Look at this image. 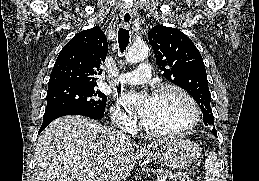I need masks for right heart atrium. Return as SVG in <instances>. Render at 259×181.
<instances>
[{
    "mask_svg": "<svg viewBox=\"0 0 259 181\" xmlns=\"http://www.w3.org/2000/svg\"><path fill=\"white\" fill-rule=\"evenodd\" d=\"M111 118L113 123L123 129L133 130L136 125V120L132 114L115 105L111 108Z\"/></svg>",
    "mask_w": 259,
    "mask_h": 181,
    "instance_id": "right-heart-atrium-1",
    "label": "right heart atrium"
}]
</instances>
